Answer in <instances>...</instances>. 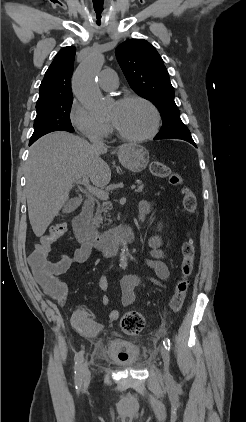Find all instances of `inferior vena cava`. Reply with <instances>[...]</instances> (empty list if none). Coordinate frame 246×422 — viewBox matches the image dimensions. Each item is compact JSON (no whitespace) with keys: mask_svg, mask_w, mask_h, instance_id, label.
Wrapping results in <instances>:
<instances>
[{"mask_svg":"<svg viewBox=\"0 0 246 422\" xmlns=\"http://www.w3.org/2000/svg\"><path fill=\"white\" fill-rule=\"evenodd\" d=\"M90 141L92 142L93 146L95 147H103L104 142L100 138H91Z\"/></svg>","mask_w":246,"mask_h":422,"instance_id":"obj_1","label":"inferior vena cava"}]
</instances>
